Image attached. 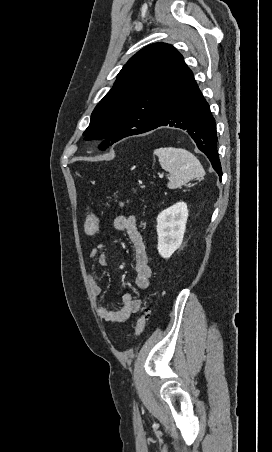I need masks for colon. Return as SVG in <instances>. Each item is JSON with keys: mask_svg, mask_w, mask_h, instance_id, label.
<instances>
[{"mask_svg": "<svg viewBox=\"0 0 272 452\" xmlns=\"http://www.w3.org/2000/svg\"><path fill=\"white\" fill-rule=\"evenodd\" d=\"M120 195H115V198H119ZM99 229V217L96 213L91 212L88 214V216L85 219L84 222V230L86 234L88 235H94L97 233ZM150 314V309L148 307H145L141 313V316L139 317L136 327H135V337L140 336L145 328L146 322L148 320Z\"/></svg>", "mask_w": 272, "mask_h": 452, "instance_id": "colon-1", "label": "colon"}]
</instances>
